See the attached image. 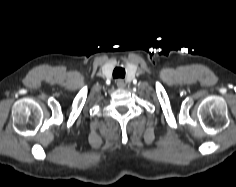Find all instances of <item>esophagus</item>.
Returning a JSON list of instances; mask_svg holds the SVG:
<instances>
[{
	"instance_id": "esophagus-1",
	"label": "esophagus",
	"mask_w": 236,
	"mask_h": 187,
	"mask_svg": "<svg viewBox=\"0 0 236 187\" xmlns=\"http://www.w3.org/2000/svg\"><path fill=\"white\" fill-rule=\"evenodd\" d=\"M116 85L118 88L123 89L125 87V82L123 79H117L116 80Z\"/></svg>"
}]
</instances>
